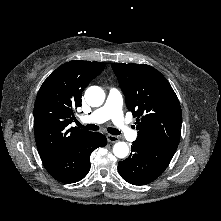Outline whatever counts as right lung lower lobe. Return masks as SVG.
Instances as JSON below:
<instances>
[{
    "label": "right lung lower lobe",
    "mask_w": 221,
    "mask_h": 221,
    "mask_svg": "<svg viewBox=\"0 0 221 221\" xmlns=\"http://www.w3.org/2000/svg\"><path fill=\"white\" fill-rule=\"evenodd\" d=\"M106 144L107 139L103 134L91 132L73 143L62 155L44 164V166L48 173L60 182H78L89 172L92 151Z\"/></svg>",
    "instance_id": "right-lung-lower-lobe-1"
}]
</instances>
